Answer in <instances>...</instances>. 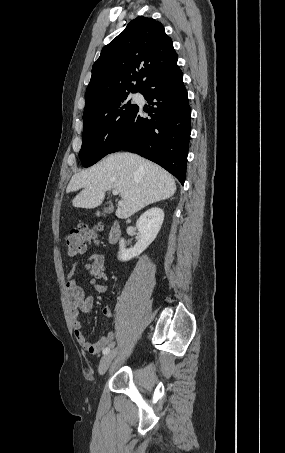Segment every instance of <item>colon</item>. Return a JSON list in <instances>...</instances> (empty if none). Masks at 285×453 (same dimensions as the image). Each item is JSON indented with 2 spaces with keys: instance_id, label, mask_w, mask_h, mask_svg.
I'll return each mask as SVG.
<instances>
[{
  "instance_id": "1",
  "label": "colon",
  "mask_w": 285,
  "mask_h": 453,
  "mask_svg": "<svg viewBox=\"0 0 285 453\" xmlns=\"http://www.w3.org/2000/svg\"><path fill=\"white\" fill-rule=\"evenodd\" d=\"M101 226L88 227L80 225L73 229L66 239V251L69 256H76L82 254L86 250V245L89 242L95 241Z\"/></svg>"
}]
</instances>
